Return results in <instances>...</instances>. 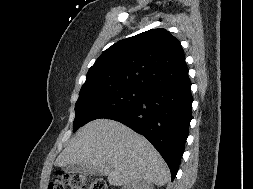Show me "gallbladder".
Segmentation results:
<instances>
[{
    "label": "gallbladder",
    "instance_id": "1",
    "mask_svg": "<svg viewBox=\"0 0 253 189\" xmlns=\"http://www.w3.org/2000/svg\"><path fill=\"white\" fill-rule=\"evenodd\" d=\"M65 172L68 173H81L83 175H103V173L94 166L87 164H68L63 167Z\"/></svg>",
    "mask_w": 253,
    "mask_h": 189
}]
</instances>
